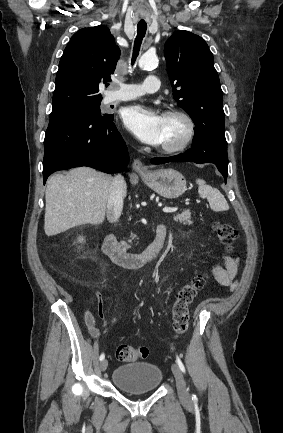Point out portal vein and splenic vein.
Segmentation results:
<instances>
[{"mask_svg":"<svg viewBox=\"0 0 283 433\" xmlns=\"http://www.w3.org/2000/svg\"><path fill=\"white\" fill-rule=\"evenodd\" d=\"M175 210H178L177 206H174V208H170V206H164L163 212H175Z\"/></svg>","mask_w":283,"mask_h":433,"instance_id":"obj_1","label":"portal vein and splenic vein"}]
</instances>
